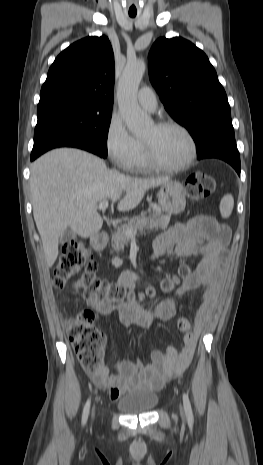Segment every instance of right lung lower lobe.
Returning <instances> with one entry per match:
<instances>
[{
	"mask_svg": "<svg viewBox=\"0 0 263 465\" xmlns=\"http://www.w3.org/2000/svg\"><path fill=\"white\" fill-rule=\"evenodd\" d=\"M58 147L80 148L102 157L100 150L94 145H92L90 142L77 136L67 135L50 138L42 142L38 146H33V150L31 153V161L35 160L37 157H39L46 151Z\"/></svg>",
	"mask_w": 263,
	"mask_h": 465,
	"instance_id": "obj_1",
	"label": "right lung lower lobe"
}]
</instances>
